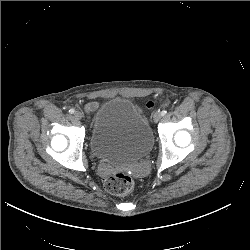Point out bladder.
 Masks as SVG:
<instances>
[{"label":"bladder","instance_id":"31cf9c89","mask_svg":"<svg viewBox=\"0 0 250 250\" xmlns=\"http://www.w3.org/2000/svg\"><path fill=\"white\" fill-rule=\"evenodd\" d=\"M88 142L96 159L112 165H131L150 152L153 133L146 116L132 100L114 98L97 109Z\"/></svg>","mask_w":250,"mask_h":250}]
</instances>
